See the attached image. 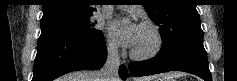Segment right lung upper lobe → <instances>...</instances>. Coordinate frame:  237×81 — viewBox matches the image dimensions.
Instances as JSON below:
<instances>
[{
  "label": "right lung upper lobe",
  "instance_id": "right-lung-upper-lobe-1",
  "mask_svg": "<svg viewBox=\"0 0 237 81\" xmlns=\"http://www.w3.org/2000/svg\"><path fill=\"white\" fill-rule=\"evenodd\" d=\"M96 0H45L42 19L56 16H87L92 15L93 3Z\"/></svg>",
  "mask_w": 237,
  "mask_h": 81
}]
</instances>
